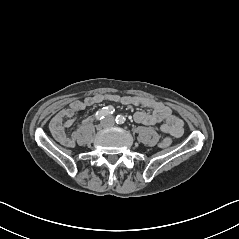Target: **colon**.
<instances>
[{
	"mask_svg": "<svg viewBox=\"0 0 239 239\" xmlns=\"http://www.w3.org/2000/svg\"><path fill=\"white\" fill-rule=\"evenodd\" d=\"M171 143H172L171 138H165V139H163V140L161 141L160 145H161V147H163V148H167V147H169V146L171 145Z\"/></svg>",
	"mask_w": 239,
	"mask_h": 239,
	"instance_id": "colon-1",
	"label": "colon"
}]
</instances>
